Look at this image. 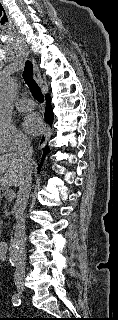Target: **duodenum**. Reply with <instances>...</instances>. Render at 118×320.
Segmentation results:
<instances>
[{
    "label": "duodenum",
    "mask_w": 118,
    "mask_h": 320,
    "mask_svg": "<svg viewBox=\"0 0 118 320\" xmlns=\"http://www.w3.org/2000/svg\"><path fill=\"white\" fill-rule=\"evenodd\" d=\"M8 252V243L6 241H0V259H6Z\"/></svg>",
    "instance_id": "1"
}]
</instances>
